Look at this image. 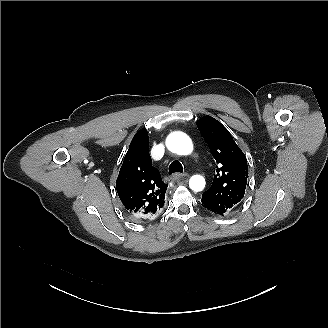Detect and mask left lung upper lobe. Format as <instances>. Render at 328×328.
Segmentation results:
<instances>
[{"mask_svg":"<svg viewBox=\"0 0 328 328\" xmlns=\"http://www.w3.org/2000/svg\"><path fill=\"white\" fill-rule=\"evenodd\" d=\"M197 125L218 164L212 186L202 195V206L222 215L244 197L248 178L247 160L219 121L204 116L197 121Z\"/></svg>","mask_w":328,"mask_h":328,"instance_id":"obj_1","label":"left lung upper lobe"}]
</instances>
